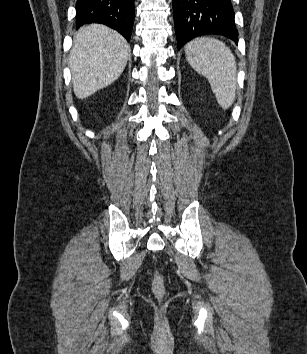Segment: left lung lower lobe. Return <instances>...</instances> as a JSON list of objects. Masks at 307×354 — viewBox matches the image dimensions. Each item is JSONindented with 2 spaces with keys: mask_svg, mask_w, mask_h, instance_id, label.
Segmentation results:
<instances>
[{
  "mask_svg": "<svg viewBox=\"0 0 307 354\" xmlns=\"http://www.w3.org/2000/svg\"><path fill=\"white\" fill-rule=\"evenodd\" d=\"M173 13L178 49L206 34L223 35L238 43L230 0H173Z\"/></svg>",
  "mask_w": 307,
  "mask_h": 354,
  "instance_id": "1",
  "label": "left lung lower lobe"
}]
</instances>
